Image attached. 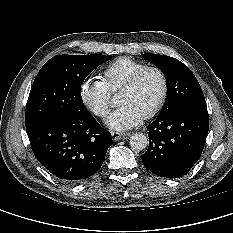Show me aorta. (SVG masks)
<instances>
[{
  "instance_id": "1",
  "label": "aorta",
  "mask_w": 233,
  "mask_h": 233,
  "mask_svg": "<svg viewBox=\"0 0 233 233\" xmlns=\"http://www.w3.org/2000/svg\"><path fill=\"white\" fill-rule=\"evenodd\" d=\"M149 143L148 137L143 133H134L129 138V145L135 151L144 150Z\"/></svg>"
}]
</instances>
